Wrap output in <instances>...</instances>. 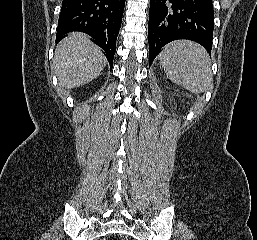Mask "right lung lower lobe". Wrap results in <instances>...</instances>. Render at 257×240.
Returning a JSON list of instances; mask_svg holds the SVG:
<instances>
[{"label":"right lung lower lobe","instance_id":"98d812e1","mask_svg":"<svg viewBox=\"0 0 257 240\" xmlns=\"http://www.w3.org/2000/svg\"><path fill=\"white\" fill-rule=\"evenodd\" d=\"M125 0H63L56 43L72 31L90 35L112 68Z\"/></svg>","mask_w":257,"mask_h":240}]
</instances>
